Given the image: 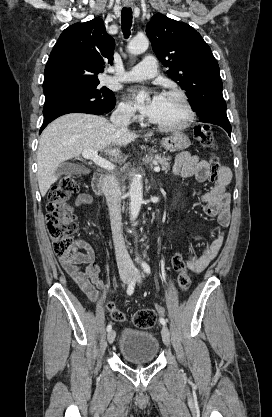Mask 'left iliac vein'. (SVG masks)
Segmentation results:
<instances>
[{"label": "left iliac vein", "mask_w": 272, "mask_h": 417, "mask_svg": "<svg viewBox=\"0 0 272 417\" xmlns=\"http://www.w3.org/2000/svg\"><path fill=\"white\" fill-rule=\"evenodd\" d=\"M135 273L137 274L138 282H140L141 277H140L139 272L136 271ZM161 334H162V339H163L164 344L168 346L170 344V332L166 326L162 327Z\"/></svg>", "instance_id": "1"}]
</instances>
